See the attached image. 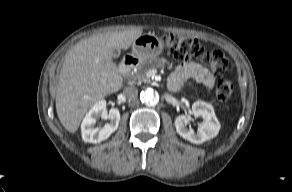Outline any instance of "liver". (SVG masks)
Returning <instances> with one entry per match:
<instances>
[{"label":"liver","mask_w":292,"mask_h":192,"mask_svg":"<svg viewBox=\"0 0 292 192\" xmlns=\"http://www.w3.org/2000/svg\"><path fill=\"white\" fill-rule=\"evenodd\" d=\"M142 29L101 33L67 51L56 90V111L63 127L75 133L87 111L119 91L123 78L112 61V49L127 50Z\"/></svg>","instance_id":"1"}]
</instances>
